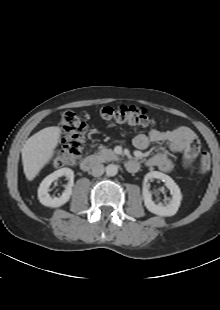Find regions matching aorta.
Here are the masks:
<instances>
[{"instance_id": "1", "label": "aorta", "mask_w": 220, "mask_h": 310, "mask_svg": "<svg viewBox=\"0 0 220 310\" xmlns=\"http://www.w3.org/2000/svg\"><path fill=\"white\" fill-rule=\"evenodd\" d=\"M118 173V166L115 164H109L106 166L107 176H115Z\"/></svg>"}]
</instances>
